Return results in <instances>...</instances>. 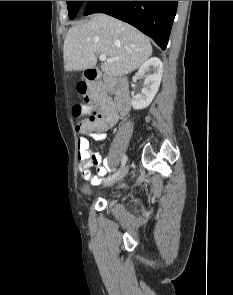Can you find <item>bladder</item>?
Here are the masks:
<instances>
[{"label": "bladder", "mask_w": 233, "mask_h": 295, "mask_svg": "<svg viewBox=\"0 0 233 295\" xmlns=\"http://www.w3.org/2000/svg\"><path fill=\"white\" fill-rule=\"evenodd\" d=\"M81 192L84 195H90L91 193V189H90V185L89 184H83L80 188Z\"/></svg>", "instance_id": "31cf9c89"}]
</instances>
